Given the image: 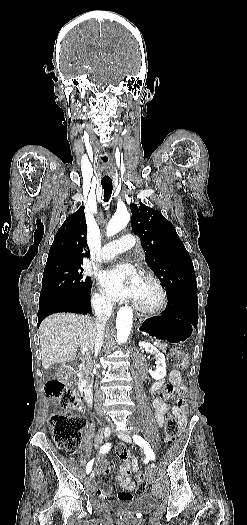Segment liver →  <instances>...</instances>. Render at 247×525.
Returning <instances> with one entry per match:
<instances>
[{
  "label": "liver",
  "instance_id": "liver-1",
  "mask_svg": "<svg viewBox=\"0 0 247 525\" xmlns=\"http://www.w3.org/2000/svg\"><path fill=\"white\" fill-rule=\"evenodd\" d=\"M96 319L76 313H54L39 327L41 363L47 371L54 363L75 361L78 347H85L84 357L93 353Z\"/></svg>",
  "mask_w": 247,
  "mask_h": 525
}]
</instances>
